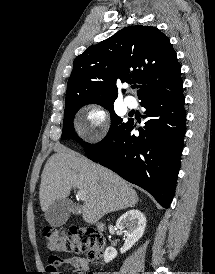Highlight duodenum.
Returning a JSON list of instances; mask_svg holds the SVG:
<instances>
[{
  "label": "duodenum",
  "instance_id": "obj_1",
  "mask_svg": "<svg viewBox=\"0 0 215 274\" xmlns=\"http://www.w3.org/2000/svg\"><path fill=\"white\" fill-rule=\"evenodd\" d=\"M97 229L102 231L103 230V225L101 223H97Z\"/></svg>",
  "mask_w": 215,
  "mask_h": 274
}]
</instances>
